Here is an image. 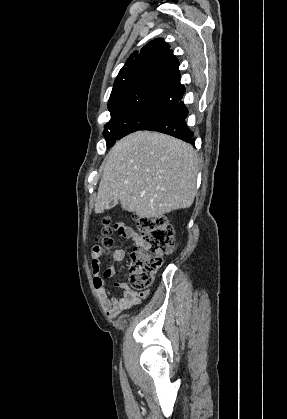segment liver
Wrapping results in <instances>:
<instances>
[{"mask_svg": "<svg viewBox=\"0 0 287 419\" xmlns=\"http://www.w3.org/2000/svg\"><path fill=\"white\" fill-rule=\"evenodd\" d=\"M198 157L190 144L166 134L137 131L119 140L103 163L95 213L119 200L123 210L158 218L189 208L196 195Z\"/></svg>", "mask_w": 287, "mask_h": 419, "instance_id": "6515ba94", "label": "liver"}]
</instances>
